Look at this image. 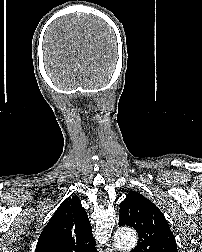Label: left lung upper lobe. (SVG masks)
Masks as SVG:
<instances>
[{
	"mask_svg": "<svg viewBox=\"0 0 202 252\" xmlns=\"http://www.w3.org/2000/svg\"><path fill=\"white\" fill-rule=\"evenodd\" d=\"M123 225L134 227L138 233V244L131 252H177L164 215L138 192H129L120 203L119 226Z\"/></svg>",
	"mask_w": 202,
	"mask_h": 252,
	"instance_id": "5c2ea615",
	"label": "left lung upper lobe"
}]
</instances>
